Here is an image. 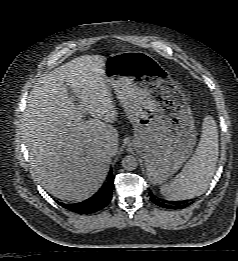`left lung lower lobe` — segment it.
Returning a JSON list of instances; mask_svg holds the SVG:
<instances>
[{"instance_id": "1", "label": "left lung lower lobe", "mask_w": 238, "mask_h": 261, "mask_svg": "<svg viewBox=\"0 0 238 261\" xmlns=\"http://www.w3.org/2000/svg\"><path fill=\"white\" fill-rule=\"evenodd\" d=\"M150 199L152 202H154L156 205L163 207V208H167V209H182L186 206L189 205V203L187 204H175L169 201H165L163 199H159L156 196H154L152 193H150Z\"/></svg>"}]
</instances>
